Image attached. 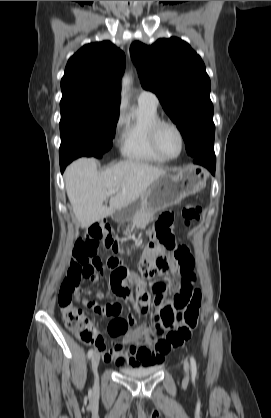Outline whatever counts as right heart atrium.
<instances>
[{
    "label": "right heart atrium",
    "mask_w": 271,
    "mask_h": 418,
    "mask_svg": "<svg viewBox=\"0 0 271 418\" xmlns=\"http://www.w3.org/2000/svg\"><path fill=\"white\" fill-rule=\"evenodd\" d=\"M122 122H123V115L122 113H120L117 118L116 127H119L122 124Z\"/></svg>",
    "instance_id": "right-heart-atrium-1"
}]
</instances>
